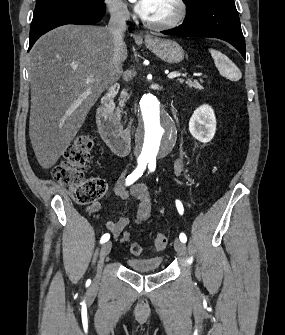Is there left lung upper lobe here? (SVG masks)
Listing matches in <instances>:
<instances>
[{
    "instance_id": "left-lung-upper-lobe-1",
    "label": "left lung upper lobe",
    "mask_w": 285,
    "mask_h": 335,
    "mask_svg": "<svg viewBox=\"0 0 285 335\" xmlns=\"http://www.w3.org/2000/svg\"><path fill=\"white\" fill-rule=\"evenodd\" d=\"M186 3L187 9H193L197 7L200 3H202L205 0H183Z\"/></svg>"
}]
</instances>
